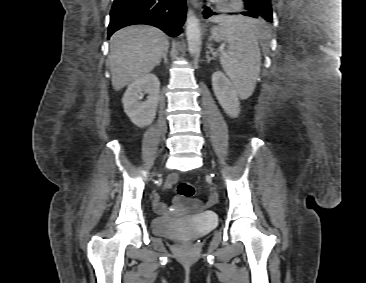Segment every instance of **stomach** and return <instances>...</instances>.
Segmentation results:
<instances>
[{
	"label": "stomach",
	"instance_id": "obj_1",
	"mask_svg": "<svg viewBox=\"0 0 366 283\" xmlns=\"http://www.w3.org/2000/svg\"><path fill=\"white\" fill-rule=\"evenodd\" d=\"M226 33L222 28H215L212 30V39L216 42L222 41L225 39Z\"/></svg>",
	"mask_w": 366,
	"mask_h": 283
}]
</instances>
